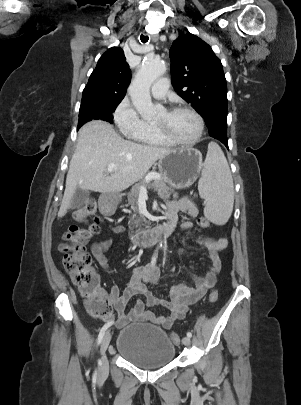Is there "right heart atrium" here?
<instances>
[{
    "label": "right heart atrium",
    "instance_id": "1",
    "mask_svg": "<svg viewBox=\"0 0 301 405\" xmlns=\"http://www.w3.org/2000/svg\"><path fill=\"white\" fill-rule=\"evenodd\" d=\"M113 117L120 131L128 136L136 133L144 125V121L128 98H124L118 104Z\"/></svg>",
    "mask_w": 301,
    "mask_h": 405
}]
</instances>
